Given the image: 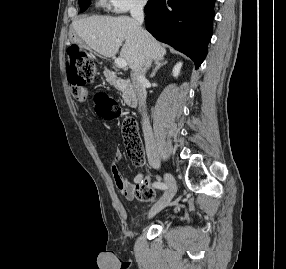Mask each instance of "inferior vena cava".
Returning a JSON list of instances; mask_svg holds the SVG:
<instances>
[{"label":"inferior vena cava","instance_id":"inferior-vena-cava-1","mask_svg":"<svg viewBox=\"0 0 286 269\" xmlns=\"http://www.w3.org/2000/svg\"><path fill=\"white\" fill-rule=\"evenodd\" d=\"M143 7L144 6L141 4L135 5L130 11L132 18L137 22L140 28L144 21ZM150 64H151V59L147 57L146 62L144 63L142 69L139 71H133L131 77L133 86L137 93L139 105L140 107H142L143 110L142 129L144 133L147 157L148 160L152 161L156 159L157 151L155 147L152 129L149 123V118L147 117V113L145 112L146 98H147V92H146L147 79L145 77V73L146 70L149 68Z\"/></svg>","mask_w":286,"mask_h":269}]
</instances>
